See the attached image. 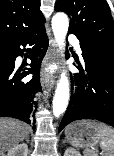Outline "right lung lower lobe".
I'll return each instance as SVG.
<instances>
[{"instance_id":"98d812e1","label":"right lung lower lobe","mask_w":114,"mask_h":156,"mask_svg":"<svg viewBox=\"0 0 114 156\" xmlns=\"http://www.w3.org/2000/svg\"><path fill=\"white\" fill-rule=\"evenodd\" d=\"M0 46L9 55V60L0 65V117H14L34 124L36 102L33 99L41 90L39 69L48 49L45 27L41 24L17 37L0 42ZM26 46L31 48L22 49ZM24 51L30 54V68L15 70V59L23 56ZM28 74L34 77L28 82L21 81Z\"/></svg>"}]
</instances>
